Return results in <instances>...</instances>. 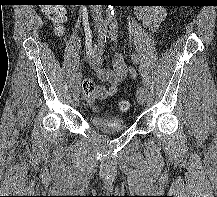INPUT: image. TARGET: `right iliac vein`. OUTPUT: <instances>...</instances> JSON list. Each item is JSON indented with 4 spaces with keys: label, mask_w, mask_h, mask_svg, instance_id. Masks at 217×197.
I'll return each instance as SVG.
<instances>
[{
    "label": "right iliac vein",
    "mask_w": 217,
    "mask_h": 197,
    "mask_svg": "<svg viewBox=\"0 0 217 197\" xmlns=\"http://www.w3.org/2000/svg\"><path fill=\"white\" fill-rule=\"evenodd\" d=\"M79 96L78 95H75L74 97H73V105L75 106V107H77L78 105H79Z\"/></svg>",
    "instance_id": "obj_1"
}]
</instances>
